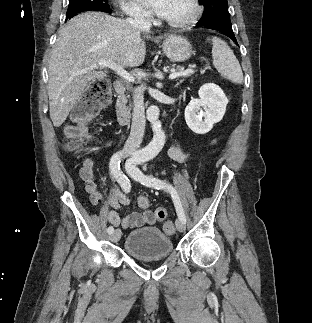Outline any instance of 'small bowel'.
<instances>
[{"label": "small bowel", "mask_w": 312, "mask_h": 323, "mask_svg": "<svg viewBox=\"0 0 312 323\" xmlns=\"http://www.w3.org/2000/svg\"><path fill=\"white\" fill-rule=\"evenodd\" d=\"M168 154L171 159L177 162H186L189 158V153L178 147H171ZM80 177L84 183L85 191L89 195L91 203L94 205H105L104 196L98 190L95 183V172L91 159H84L82 167L80 168ZM107 203L112 209L106 212V220L116 227L121 226L123 229H133L143 226H152L156 223L157 219H159L156 215V210H146L143 213L133 212L122 219L119 215V211L128 204V201L121 195L117 188L111 189L110 198Z\"/></svg>", "instance_id": "c3829d8e"}]
</instances>
